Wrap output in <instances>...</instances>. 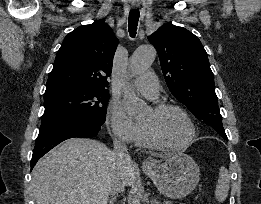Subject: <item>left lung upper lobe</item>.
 <instances>
[{
	"mask_svg": "<svg viewBox=\"0 0 261 204\" xmlns=\"http://www.w3.org/2000/svg\"><path fill=\"white\" fill-rule=\"evenodd\" d=\"M156 48L171 93L196 116L228 140L215 93L207 53L193 33L172 24L148 37Z\"/></svg>",
	"mask_w": 261,
	"mask_h": 204,
	"instance_id": "left-lung-upper-lobe-1",
	"label": "left lung upper lobe"
}]
</instances>
